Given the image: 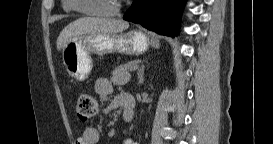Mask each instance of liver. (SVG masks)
<instances>
[{
  "label": "liver",
  "instance_id": "liver-1",
  "mask_svg": "<svg viewBox=\"0 0 273 144\" xmlns=\"http://www.w3.org/2000/svg\"><path fill=\"white\" fill-rule=\"evenodd\" d=\"M128 22L119 19L83 17L69 23L57 38V50L60 51L73 38L92 32L116 34L126 30Z\"/></svg>",
  "mask_w": 273,
  "mask_h": 144
}]
</instances>
